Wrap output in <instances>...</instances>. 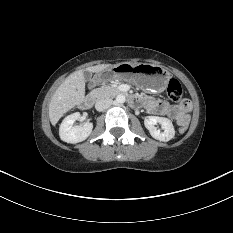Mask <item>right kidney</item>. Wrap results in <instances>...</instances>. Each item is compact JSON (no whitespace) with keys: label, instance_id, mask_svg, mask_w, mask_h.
Wrapping results in <instances>:
<instances>
[{"label":"right kidney","instance_id":"ca27d5eb","mask_svg":"<svg viewBox=\"0 0 233 233\" xmlns=\"http://www.w3.org/2000/svg\"><path fill=\"white\" fill-rule=\"evenodd\" d=\"M80 118V113L75 112L64 118L59 128L61 140L67 143L82 142L91 134L93 124L86 122L82 126H73L74 122Z\"/></svg>","mask_w":233,"mask_h":233}]
</instances>
